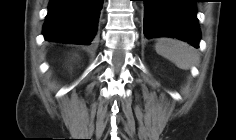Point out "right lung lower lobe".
I'll list each match as a JSON object with an SVG mask.
<instances>
[{
	"label": "right lung lower lobe",
	"mask_w": 236,
	"mask_h": 140,
	"mask_svg": "<svg viewBox=\"0 0 236 140\" xmlns=\"http://www.w3.org/2000/svg\"><path fill=\"white\" fill-rule=\"evenodd\" d=\"M103 0H50L43 26L46 40L89 45Z\"/></svg>",
	"instance_id": "right-lung-lower-lobe-1"
}]
</instances>
